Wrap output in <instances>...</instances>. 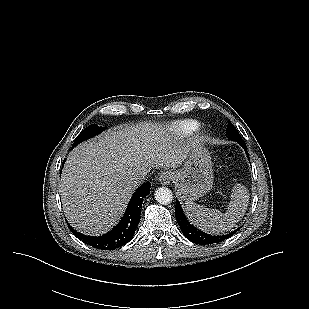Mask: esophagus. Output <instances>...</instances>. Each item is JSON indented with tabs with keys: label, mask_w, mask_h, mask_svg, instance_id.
I'll list each match as a JSON object with an SVG mask.
<instances>
[{
	"label": "esophagus",
	"mask_w": 309,
	"mask_h": 309,
	"mask_svg": "<svg viewBox=\"0 0 309 309\" xmlns=\"http://www.w3.org/2000/svg\"><path fill=\"white\" fill-rule=\"evenodd\" d=\"M173 179V174L170 171H163L158 176V182L162 185H168Z\"/></svg>",
	"instance_id": "obj_1"
}]
</instances>
